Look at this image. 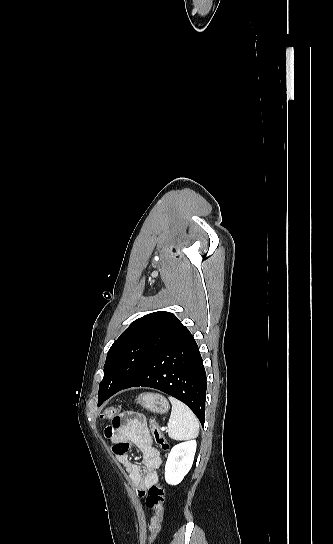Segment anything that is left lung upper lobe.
<instances>
[{
  "instance_id": "5c2ea615",
  "label": "left lung upper lobe",
  "mask_w": 333,
  "mask_h": 544,
  "mask_svg": "<svg viewBox=\"0 0 333 544\" xmlns=\"http://www.w3.org/2000/svg\"><path fill=\"white\" fill-rule=\"evenodd\" d=\"M182 326L166 311L153 312L132 322L107 353L99 392H113L128 384Z\"/></svg>"
}]
</instances>
